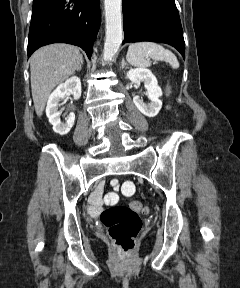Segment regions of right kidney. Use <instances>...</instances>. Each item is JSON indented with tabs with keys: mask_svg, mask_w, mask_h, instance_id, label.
<instances>
[{
	"mask_svg": "<svg viewBox=\"0 0 240 288\" xmlns=\"http://www.w3.org/2000/svg\"><path fill=\"white\" fill-rule=\"evenodd\" d=\"M72 94L75 99L81 96V81L78 77L73 76L65 83L60 84L49 96L46 115L49 122L53 125L54 132L60 135H66L74 125L75 114L71 112L65 122H61L60 114L62 110L59 109L60 102L63 101L66 95Z\"/></svg>",
	"mask_w": 240,
	"mask_h": 288,
	"instance_id": "1",
	"label": "right kidney"
}]
</instances>
